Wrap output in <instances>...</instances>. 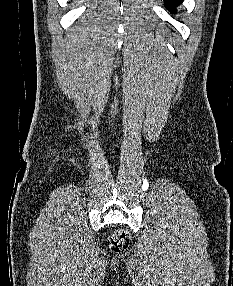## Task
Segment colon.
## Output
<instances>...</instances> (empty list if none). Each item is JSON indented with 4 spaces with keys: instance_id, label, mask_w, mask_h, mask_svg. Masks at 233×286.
I'll list each match as a JSON object with an SVG mask.
<instances>
[{
    "instance_id": "1",
    "label": "colon",
    "mask_w": 233,
    "mask_h": 286,
    "mask_svg": "<svg viewBox=\"0 0 233 286\" xmlns=\"http://www.w3.org/2000/svg\"><path fill=\"white\" fill-rule=\"evenodd\" d=\"M128 243V235L121 230L115 231L110 238V246L116 251L126 248Z\"/></svg>"
}]
</instances>
